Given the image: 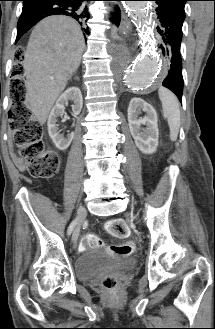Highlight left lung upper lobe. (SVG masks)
Listing matches in <instances>:
<instances>
[{
    "mask_svg": "<svg viewBox=\"0 0 215 329\" xmlns=\"http://www.w3.org/2000/svg\"><path fill=\"white\" fill-rule=\"evenodd\" d=\"M156 1L162 2L163 4L175 10L179 15L185 17L184 6L185 3L189 0H156Z\"/></svg>",
    "mask_w": 215,
    "mask_h": 329,
    "instance_id": "obj_1",
    "label": "left lung upper lobe"
}]
</instances>
